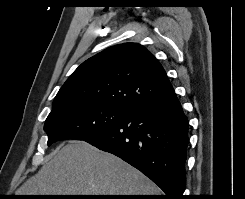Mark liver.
<instances>
[{
    "mask_svg": "<svg viewBox=\"0 0 245 199\" xmlns=\"http://www.w3.org/2000/svg\"><path fill=\"white\" fill-rule=\"evenodd\" d=\"M159 188L117 156L73 140L16 195H158Z\"/></svg>",
    "mask_w": 245,
    "mask_h": 199,
    "instance_id": "obj_1",
    "label": "liver"
}]
</instances>
